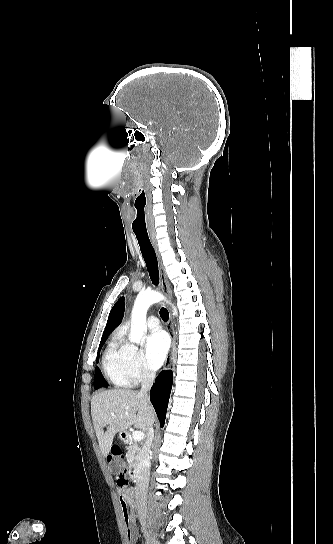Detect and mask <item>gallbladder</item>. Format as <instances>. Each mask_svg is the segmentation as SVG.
I'll return each instance as SVG.
<instances>
[{"label": "gallbladder", "instance_id": "gallbladder-1", "mask_svg": "<svg viewBox=\"0 0 333 544\" xmlns=\"http://www.w3.org/2000/svg\"><path fill=\"white\" fill-rule=\"evenodd\" d=\"M110 470L113 474H119L122 468L118 463H111Z\"/></svg>", "mask_w": 333, "mask_h": 544}]
</instances>
